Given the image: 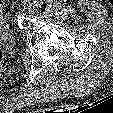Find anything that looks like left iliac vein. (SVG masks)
<instances>
[{
  "label": "left iliac vein",
  "instance_id": "obj_1",
  "mask_svg": "<svg viewBox=\"0 0 113 113\" xmlns=\"http://www.w3.org/2000/svg\"><path fill=\"white\" fill-rule=\"evenodd\" d=\"M28 11L31 12V13H33L35 11V4L30 3L28 5Z\"/></svg>",
  "mask_w": 113,
  "mask_h": 113
}]
</instances>
